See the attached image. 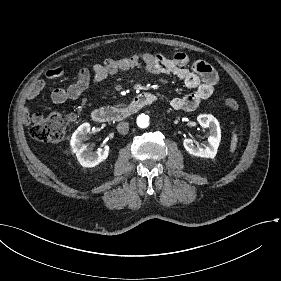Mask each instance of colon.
<instances>
[{
	"label": "colon",
	"instance_id": "5ec220e1",
	"mask_svg": "<svg viewBox=\"0 0 281 281\" xmlns=\"http://www.w3.org/2000/svg\"><path fill=\"white\" fill-rule=\"evenodd\" d=\"M224 104L231 109H236L239 102L233 97H226ZM68 119L55 113L32 122L29 128L30 135L40 142L57 143L64 138Z\"/></svg>",
	"mask_w": 281,
	"mask_h": 281
}]
</instances>
